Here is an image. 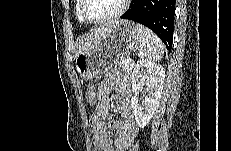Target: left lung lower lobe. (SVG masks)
I'll list each match as a JSON object with an SVG mask.
<instances>
[{"label":"left lung lower lobe","instance_id":"0a47b994","mask_svg":"<svg viewBox=\"0 0 231 151\" xmlns=\"http://www.w3.org/2000/svg\"><path fill=\"white\" fill-rule=\"evenodd\" d=\"M176 0H132L121 17L145 25L155 32L171 51Z\"/></svg>","mask_w":231,"mask_h":151}]
</instances>
